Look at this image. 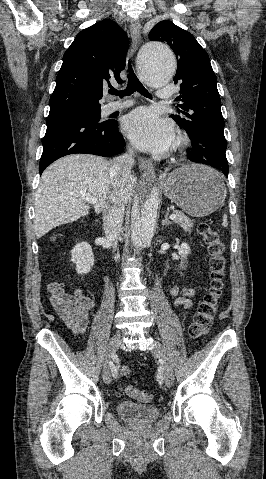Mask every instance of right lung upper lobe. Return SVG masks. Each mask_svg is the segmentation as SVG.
<instances>
[{"label": "right lung upper lobe", "instance_id": "obj_1", "mask_svg": "<svg viewBox=\"0 0 266 479\" xmlns=\"http://www.w3.org/2000/svg\"><path fill=\"white\" fill-rule=\"evenodd\" d=\"M126 33L112 20L104 19L79 32L63 55L50 98V112L100 107L103 87L115 78L122 83L128 50Z\"/></svg>", "mask_w": 266, "mask_h": 479}]
</instances>
